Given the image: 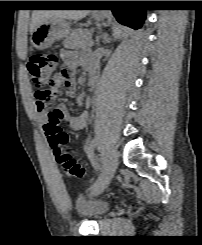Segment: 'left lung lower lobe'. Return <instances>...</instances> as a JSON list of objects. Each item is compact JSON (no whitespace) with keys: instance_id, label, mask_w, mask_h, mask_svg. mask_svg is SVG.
Masks as SVG:
<instances>
[{"instance_id":"0a47b994","label":"left lung lower lobe","mask_w":202,"mask_h":245,"mask_svg":"<svg viewBox=\"0 0 202 245\" xmlns=\"http://www.w3.org/2000/svg\"><path fill=\"white\" fill-rule=\"evenodd\" d=\"M89 5H94V1L88 2ZM114 15L121 24L127 25L133 29L141 28L145 20V10L139 9H113Z\"/></svg>"}]
</instances>
